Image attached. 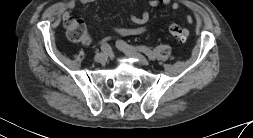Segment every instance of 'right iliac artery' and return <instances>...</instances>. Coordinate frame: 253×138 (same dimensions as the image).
Masks as SVG:
<instances>
[{
  "label": "right iliac artery",
  "mask_w": 253,
  "mask_h": 138,
  "mask_svg": "<svg viewBox=\"0 0 253 138\" xmlns=\"http://www.w3.org/2000/svg\"><path fill=\"white\" fill-rule=\"evenodd\" d=\"M101 50H102L103 52H108V51L110 50L109 44H107V43L102 44V45H101Z\"/></svg>",
  "instance_id": "obj_1"
}]
</instances>
